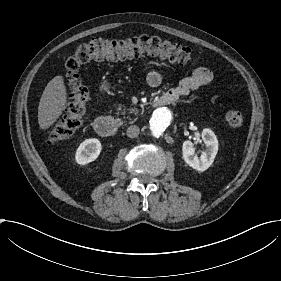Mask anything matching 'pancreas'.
I'll return each mask as SVG.
<instances>
[{
	"mask_svg": "<svg viewBox=\"0 0 281 281\" xmlns=\"http://www.w3.org/2000/svg\"><path fill=\"white\" fill-rule=\"evenodd\" d=\"M130 112H131V113H133V112L137 113V109H136V108H131V109H130ZM122 114H124V112H122Z\"/></svg>",
	"mask_w": 281,
	"mask_h": 281,
	"instance_id": "obj_1",
	"label": "pancreas"
}]
</instances>
